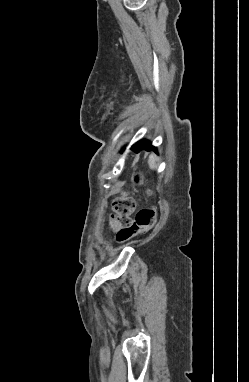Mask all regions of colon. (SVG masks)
I'll use <instances>...</instances> for the list:
<instances>
[{"instance_id": "1", "label": "colon", "mask_w": 249, "mask_h": 382, "mask_svg": "<svg viewBox=\"0 0 249 382\" xmlns=\"http://www.w3.org/2000/svg\"><path fill=\"white\" fill-rule=\"evenodd\" d=\"M136 181L142 182L141 175L136 177ZM134 208L135 202L127 194H121L113 200L109 222L118 244H125L135 235L146 232L155 222L156 210L154 208H143L137 212L135 217H132Z\"/></svg>"}]
</instances>
